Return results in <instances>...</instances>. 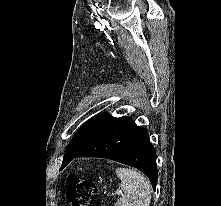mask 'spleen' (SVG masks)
Instances as JSON below:
<instances>
[{"label": "spleen", "instance_id": "spleen-1", "mask_svg": "<svg viewBox=\"0 0 221 206\" xmlns=\"http://www.w3.org/2000/svg\"><path fill=\"white\" fill-rule=\"evenodd\" d=\"M122 194L115 206H149L151 201L150 183L138 171L130 168H117Z\"/></svg>", "mask_w": 221, "mask_h": 206}]
</instances>
